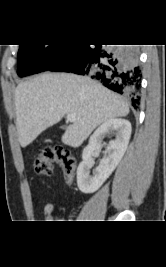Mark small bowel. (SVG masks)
Masks as SVG:
<instances>
[{
	"mask_svg": "<svg viewBox=\"0 0 166 267\" xmlns=\"http://www.w3.org/2000/svg\"><path fill=\"white\" fill-rule=\"evenodd\" d=\"M72 180H67V183L71 184ZM43 213L46 222H55L59 218L57 209L52 203L45 204L43 208Z\"/></svg>",
	"mask_w": 166,
	"mask_h": 267,
	"instance_id": "obj_1",
	"label": "small bowel"
}]
</instances>
